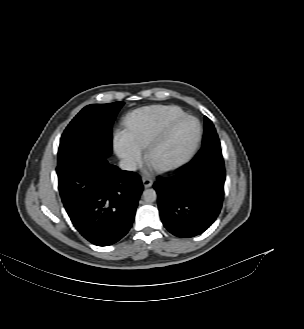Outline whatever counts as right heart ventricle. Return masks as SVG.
Here are the masks:
<instances>
[{
	"label": "right heart ventricle",
	"mask_w": 304,
	"mask_h": 329,
	"mask_svg": "<svg viewBox=\"0 0 304 329\" xmlns=\"http://www.w3.org/2000/svg\"><path fill=\"white\" fill-rule=\"evenodd\" d=\"M186 114L175 105H155L141 108L130 115L127 131L135 143L143 150L160 135L174 119Z\"/></svg>",
	"instance_id": "e07e8e85"
}]
</instances>
